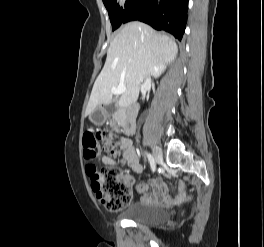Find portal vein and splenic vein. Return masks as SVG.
Here are the masks:
<instances>
[{"label":"portal vein and splenic vein","instance_id":"portal-vein-and-splenic-vein-1","mask_svg":"<svg viewBox=\"0 0 264 247\" xmlns=\"http://www.w3.org/2000/svg\"><path fill=\"white\" fill-rule=\"evenodd\" d=\"M126 91V86L123 83H120L117 87H112L111 92L115 95H121Z\"/></svg>","mask_w":264,"mask_h":247}]
</instances>
